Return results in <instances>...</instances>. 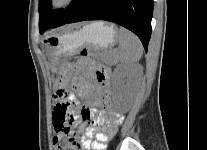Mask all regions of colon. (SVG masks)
Segmentation results:
<instances>
[{
  "mask_svg": "<svg viewBox=\"0 0 207 150\" xmlns=\"http://www.w3.org/2000/svg\"><path fill=\"white\" fill-rule=\"evenodd\" d=\"M55 98V111L49 118L54 125L52 131L56 132L53 140L54 150H80L86 136L81 131L75 132L70 128L72 118L70 111L75 109L72 87H57ZM83 121L88 123L90 120Z\"/></svg>",
  "mask_w": 207,
  "mask_h": 150,
  "instance_id": "5ec220e1",
  "label": "colon"
}]
</instances>
